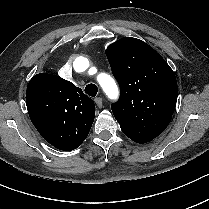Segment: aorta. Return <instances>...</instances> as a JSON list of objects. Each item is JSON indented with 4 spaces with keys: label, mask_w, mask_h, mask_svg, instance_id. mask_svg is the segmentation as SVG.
<instances>
[{
    "label": "aorta",
    "mask_w": 209,
    "mask_h": 209,
    "mask_svg": "<svg viewBox=\"0 0 209 209\" xmlns=\"http://www.w3.org/2000/svg\"><path fill=\"white\" fill-rule=\"evenodd\" d=\"M87 63V59L84 57H77L74 61V69L80 71L82 66ZM99 84L106 93L112 95L116 92L117 86L114 79L108 74H102L98 77Z\"/></svg>",
    "instance_id": "762f6f07"
}]
</instances>
